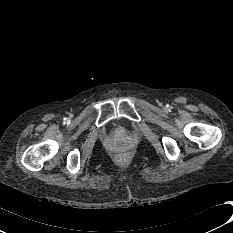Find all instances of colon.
Segmentation results:
<instances>
[{
  "instance_id": "5ec220e1",
  "label": "colon",
  "mask_w": 233,
  "mask_h": 233,
  "mask_svg": "<svg viewBox=\"0 0 233 233\" xmlns=\"http://www.w3.org/2000/svg\"><path fill=\"white\" fill-rule=\"evenodd\" d=\"M119 157H120V158H124V155H123V154H119Z\"/></svg>"
}]
</instances>
